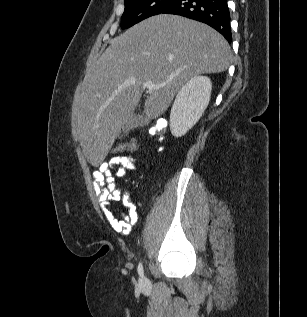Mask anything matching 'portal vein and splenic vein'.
<instances>
[{
  "instance_id": "1",
  "label": "portal vein and splenic vein",
  "mask_w": 307,
  "mask_h": 317,
  "mask_svg": "<svg viewBox=\"0 0 307 317\" xmlns=\"http://www.w3.org/2000/svg\"><path fill=\"white\" fill-rule=\"evenodd\" d=\"M144 86L148 89V90H153V89H159L161 87L164 86V84H154L152 81H146L144 83Z\"/></svg>"
}]
</instances>
